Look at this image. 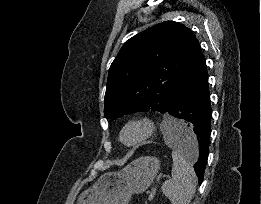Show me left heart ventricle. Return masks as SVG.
Segmentation results:
<instances>
[{
  "label": "left heart ventricle",
  "mask_w": 261,
  "mask_h": 204,
  "mask_svg": "<svg viewBox=\"0 0 261 204\" xmlns=\"http://www.w3.org/2000/svg\"><path fill=\"white\" fill-rule=\"evenodd\" d=\"M141 131L137 127H131L124 133V140L129 142L136 139L140 135Z\"/></svg>",
  "instance_id": "1"
}]
</instances>
